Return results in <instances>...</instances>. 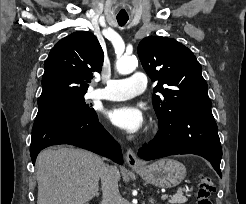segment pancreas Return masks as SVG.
Segmentation results:
<instances>
[{"instance_id":"1","label":"pancreas","mask_w":246,"mask_h":204,"mask_svg":"<svg viewBox=\"0 0 246 204\" xmlns=\"http://www.w3.org/2000/svg\"><path fill=\"white\" fill-rule=\"evenodd\" d=\"M188 199L187 197L183 196V195H177L175 194L173 197H171V199L169 200V202L171 204H183L185 202H187Z\"/></svg>"}]
</instances>
